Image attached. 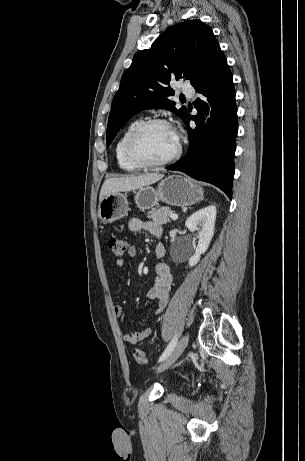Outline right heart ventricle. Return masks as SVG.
I'll use <instances>...</instances> for the list:
<instances>
[{"label":"right heart ventricle","instance_id":"obj_1","mask_svg":"<svg viewBox=\"0 0 305 461\" xmlns=\"http://www.w3.org/2000/svg\"><path fill=\"white\" fill-rule=\"evenodd\" d=\"M140 123V120H134L124 129L115 145V158L118 166L127 172H136L140 167L134 165L126 155V142L134 128Z\"/></svg>","mask_w":305,"mask_h":461}]
</instances>
